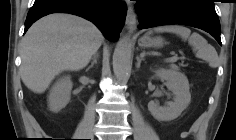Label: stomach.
Returning a JSON list of instances; mask_svg holds the SVG:
<instances>
[{"label":"stomach","instance_id":"stomach-1","mask_svg":"<svg viewBox=\"0 0 236 140\" xmlns=\"http://www.w3.org/2000/svg\"><path fill=\"white\" fill-rule=\"evenodd\" d=\"M140 45L143 47H161L163 45V39L161 37H143L140 39Z\"/></svg>","mask_w":236,"mask_h":140}]
</instances>
